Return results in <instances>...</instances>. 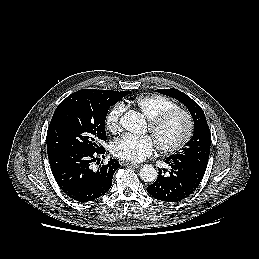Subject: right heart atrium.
Returning a JSON list of instances; mask_svg holds the SVG:
<instances>
[{
  "mask_svg": "<svg viewBox=\"0 0 259 259\" xmlns=\"http://www.w3.org/2000/svg\"><path fill=\"white\" fill-rule=\"evenodd\" d=\"M125 106L123 103L115 104L107 113L105 124L111 132H117L120 129V121L124 114Z\"/></svg>",
  "mask_w": 259,
  "mask_h": 259,
  "instance_id": "d8ad5b80",
  "label": "right heart atrium"
}]
</instances>
